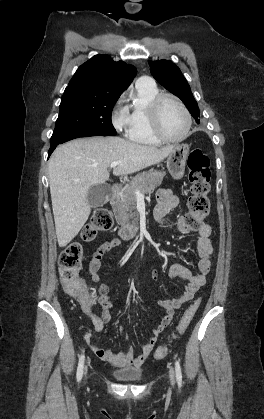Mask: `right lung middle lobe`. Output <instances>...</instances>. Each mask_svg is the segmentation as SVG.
<instances>
[{
    "mask_svg": "<svg viewBox=\"0 0 264 419\" xmlns=\"http://www.w3.org/2000/svg\"><path fill=\"white\" fill-rule=\"evenodd\" d=\"M119 96L120 94L97 92L83 87L66 88L50 139L51 145L80 133L116 135L111 113Z\"/></svg>",
    "mask_w": 264,
    "mask_h": 419,
    "instance_id": "dd1d6c3e",
    "label": "right lung middle lobe"
}]
</instances>
